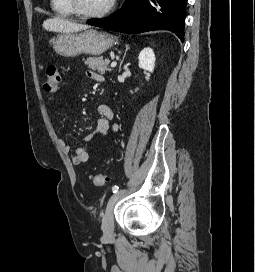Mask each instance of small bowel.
<instances>
[{
	"label": "small bowel",
	"mask_w": 255,
	"mask_h": 272,
	"mask_svg": "<svg viewBox=\"0 0 255 272\" xmlns=\"http://www.w3.org/2000/svg\"><path fill=\"white\" fill-rule=\"evenodd\" d=\"M87 77L95 82H103L104 77L93 70L87 71ZM98 119L96 128L83 137L82 143L90 142L94 138H107L110 134L117 130V125L114 123V111L106 104H102L97 108ZM60 145L65 152H70V145L66 140H60ZM89 159L88 152L83 146H78L70 155V160L73 164L79 165L86 163Z\"/></svg>",
	"instance_id": "small-bowel-1"
}]
</instances>
